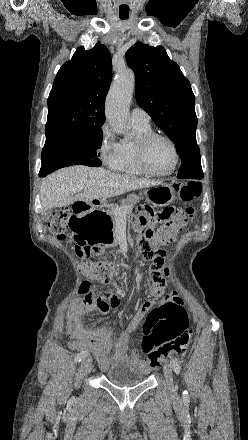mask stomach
<instances>
[{"mask_svg": "<svg viewBox=\"0 0 248 440\" xmlns=\"http://www.w3.org/2000/svg\"><path fill=\"white\" fill-rule=\"evenodd\" d=\"M144 198L148 203L162 207L172 202L174 191L167 184H158L147 188ZM89 203L78 204L81 218L70 219V232L75 241H84L85 246H115L116 218H111V209H92L97 202Z\"/></svg>", "mask_w": 248, "mask_h": 440, "instance_id": "0dacf381", "label": "stomach"}]
</instances>
